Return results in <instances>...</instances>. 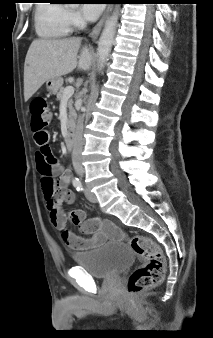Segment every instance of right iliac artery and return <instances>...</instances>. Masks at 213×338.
Segmentation results:
<instances>
[{"instance_id":"right-iliac-artery-1","label":"right iliac artery","mask_w":213,"mask_h":338,"mask_svg":"<svg viewBox=\"0 0 213 338\" xmlns=\"http://www.w3.org/2000/svg\"><path fill=\"white\" fill-rule=\"evenodd\" d=\"M73 186L76 188L77 191H83L84 190L82 183L79 180L74 181Z\"/></svg>"}]
</instances>
